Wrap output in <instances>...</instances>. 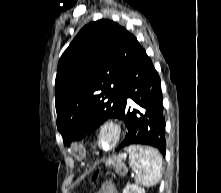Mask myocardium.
Segmentation results:
<instances>
[{
	"mask_svg": "<svg viewBox=\"0 0 221 193\" xmlns=\"http://www.w3.org/2000/svg\"><path fill=\"white\" fill-rule=\"evenodd\" d=\"M111 132L113 135L112 143L108 147L102 145L101 139L105 132ZM122 138V125L114 118H107L98 126L95 136V143L103 151L113 150Z\"/></svg>",
	"mask_w": 221,
	"mask_h": 193,
	"instance_id": "f54148a6",
	"label": "myocardium"
}]
</instances>
